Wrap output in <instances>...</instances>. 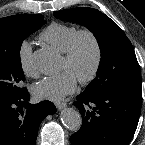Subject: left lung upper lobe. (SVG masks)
<instances>
[{
	"mask_svg": "<svg viewBox=\"0 0 145 145\" xmlns=\"http://www.w3.org/2000/svg\"><path fill=\"white\" fill-rule=\"evenodd\" d=\"M54 16L85 26L93 32L98 41L101 62L96 77L84 92L98 95L142 85L140 67L133 46L122 29L108 16L97 9L86 7L56 11Z\"/></svg>",
	"mask_w": 145,
	"mask_h": 145,
	"instance_id": "left-lung-upper-lobe-1",
	"label": "left lung upper lobe"
}]
</instances>
